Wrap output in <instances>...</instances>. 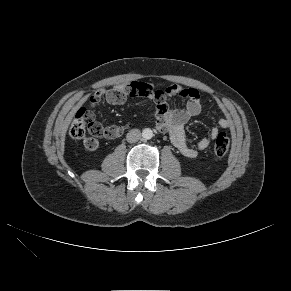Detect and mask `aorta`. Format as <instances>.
I'll list each match as a JSON object with an SVG mask.
<instances>
[{"instance_id": "762f6f07", "label": "aorta", "mask_w": 291, "mask_h": 291, "mask_svg": "<svg viewBox=\"0 0 291 291\" xmlns=\"http://www.w3.org/2000/svg\"><path fill=\"white\" fill-rule=\"evenodd\" d=\"M142 137L145 140H149L153 137V131L150 128H145L142 131Z\"/></svg>"}]
</instances>
